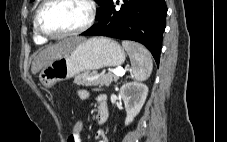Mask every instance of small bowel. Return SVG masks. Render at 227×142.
Segmentation results:
<instances>
[{
	"label": "small bowel",
	"instance_id": "1",
	"mask_svg": "<svg viewBox=\"0 0 227 142\" xmlns=\"http://www.w3.org/2000/svg\"><path fill=\"white\" fill-rule=\"evenodd\" d=\"M79 96L83 99H86L89 97V93L85 90L79 91ZM98 103L101 104L103 102H106L105 96L100 95L98 96ZM96 138L99 139L98 142H109V139L105 135V133L102 130H98L96 133ZM82 135L80 137H74L71 134L67 138V142H81Z\"/></svg>",
	"mask_w": 227,
	"mask_h": 142
}]
</instances>
